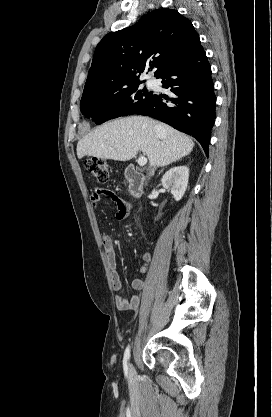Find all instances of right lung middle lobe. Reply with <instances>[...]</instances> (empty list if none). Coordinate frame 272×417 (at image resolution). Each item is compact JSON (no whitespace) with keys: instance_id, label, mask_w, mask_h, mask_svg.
I'll return each instance as SVG.
<instances>
[{"instance_id":"1","label":"right lung middle lobe","mask_w":272,"mask_h":417,"mask_svg":"<svg viewBox=\"0 0 272 417\" xmlns=\"http://www.w3.org/2000/svg\"><path fill=\"white\" fill-rule=\"evenodd\" d=\"M153 95V92L142 88L140 83L115 92L83 94L80 110L85 117H91L99 125L110 119L134 114Z\"/></svg>"}]
</instances>
